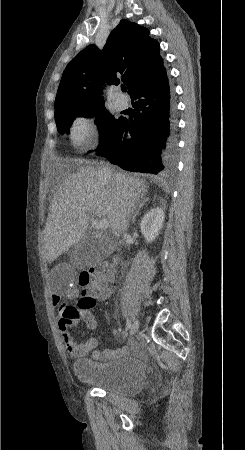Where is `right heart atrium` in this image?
Masks as SVG:
<instances>
[{"instance_id": "1", "label": "right heart atrium", "mask_w": 245, "mask_h": 450, "mask_svg": "<svg viewBox=\"0 0 245 450\" xmlns=\"http://www.w3.org/2000/svg\"><path fill=\"white\" fill-rule=\"evenodd\" d=\"M70 138L74 144L83 148L95 145L97 133L94 124L84 117L75 119L71 125Z\"/></svg>"}]
</instances>
